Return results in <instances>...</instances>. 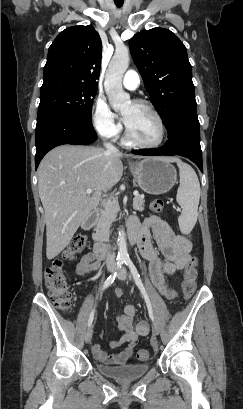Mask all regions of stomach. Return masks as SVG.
Wrapping results in <instances>:
<instances>
[{
    "label": "stomach",
    "instance_id": "1",
    "mask_svg": "<svg viewBox=\"0 0 243 409\" xmlns=\"http://www.w3.org/2000/svg\"><path fill=\"white\" fill-rule=\"evenodd\" d=\"M130 170L138 186L152 195L167 193L177 180L174 166L164 157H146L141 161L132 162Z\"/></svg>",
    "mask_w": 243,
    "mask_h": 409
}]
</instances>
